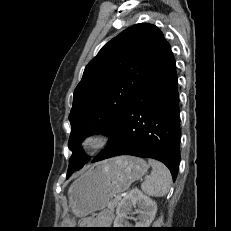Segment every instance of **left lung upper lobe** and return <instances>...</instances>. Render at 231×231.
<instances>
[{"instance_id":"left-lung-upper-lobe-1","label":"left lung upper lobe","mask_w":231,"mask_h":231,"mask_svg":"<svg viewBox=\"0 0 231 231\" xmlns=\"http://www.w3.org/2000/svg\"><path fill=\"white\" fill-rule=\"evenodd\" d=\"M165 42L155 25L136 24L110 40L88 63L69 115L72 155L67 176L89 159L79 148L86 136L111 133Z\"/></svg>"}]
</instances>
